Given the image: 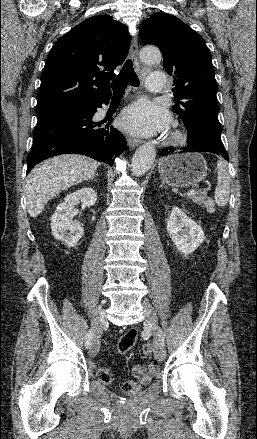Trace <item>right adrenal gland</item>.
<instances>
[{"label": "right adrenal gland", "mask_w": 257, "mask_h": 439, "mask_svg": "<svg viewBox=\"0 0 257 439\" xmlns=\"http://www.w3.org/2000/svg\"><path fill=\"white\" fill-rule=\"evenodd\" d=\"M96 176H98V173H97L96 175H93V176L89 179V181H90V180H93V181L96 182V181H97V180H96Z\"/></svg>", "instance_id": "right-adrenal-gland-1"}]
</instances>
